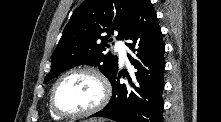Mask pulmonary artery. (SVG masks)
<instances>
[{
    "label": "pulmonary artery",
    "instance_id": "obj_1",
    "mask_svg": "<svg viewBox=\"0 0 221 122\" xmlns=\"http://www.w3.org/2000/svg\"><path fill=\"white\" fill-rule=\"evenodd\" d=\"M115 50L119 54V58L121 62H125L127 60V47L122 41H117L115 43Z\"/></svg>",
    "mask_w": 221,
    "mask_h": 122
}]
</instances>
